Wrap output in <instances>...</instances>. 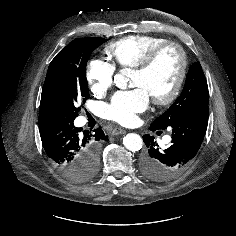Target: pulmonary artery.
<instances>
[{"instance_id": "1", "label": "pulmonary artery", "mask_w": 236, "mask_h": 236, "mask_svg": "<svg viewBox=\"0 0 236 236\" xmlns=\"http://www.w3.org/2000/svg\"><path fill=\"white\" fill-rule=\"evenodd\" d=\"M169 141H170V137L169 136L165 137V142H169Z\"/></svg>"}]
</instances>
